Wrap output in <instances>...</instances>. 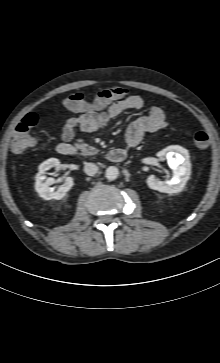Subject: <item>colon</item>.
Segmentation results:
<instances>
[{"mask_svg":"<svg viewBox=\"0 0 220 363\" xmlns=\"http://www.w3.org/2000/svg\"><path fill=\"white\" fill-rule=\"evenodd\" d=\"M129 91L127 88L114 86L98 91L94 94L93 102L100 105H107L127 97ZM87 103L83 93L74 92L64 99V105L73 111L82 110ZM39 117L36 113H28L15 128L11 148L16 153L24 152L32 148L37 143V138L31 133L32 129L37 126ZM194 141L197 146L205 148L210 143V137L205 131H197L194 134Z\"/></svg>","mask_w":220,"mask_h":363,"instance_id":"1","label":"colon"}]
</instances>
